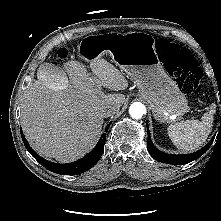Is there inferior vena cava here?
Returning <instances> with one entry per match:
<instances>
[{
    "label": "inferior vena cava",
    "instance_id": "602c4592",
    "mask_svg": "<svg viewBox=\"0 0 221 221\" xmlns=\"http://www.w3.org/2000/svg\"><path fill=\"white\" fill-rule=\"evenodd\" d=\"M119 110H120V106L114 104V105L106 106L102 110V113H103L104 117H110V116L116 114Z\"/></svg>",
    "mask_w": 221,
    "mask_h": 221
}]
</instances>
